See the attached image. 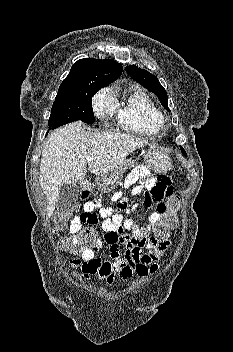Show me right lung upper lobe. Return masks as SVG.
<instances>
[{
  "label": "right lung upper lobe",
  "instance_id": "right-lung-upper-lobe-1",
  "mask_svg": "<svg viewBox=\"0 0 233 352\" xmlns=\"http://www.w3.org/2000/svg\"><path fill=\"white\" fill-rule=\"evenodd\" d=\"M122 70L121 64L110 59H80L72 66L58 93L75 92L88 85L105 87L119 78Z\"/></svg>",
  "mask_w": 233,
  "mask_h": 352
}]
</instances>
